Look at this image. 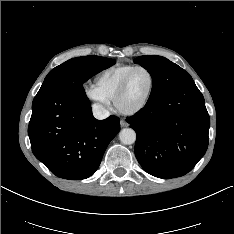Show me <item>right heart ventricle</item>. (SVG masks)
Wrapping results in <instances>:
<instances>
[{"mask_svg": "<svg viewBox=\"0 0 234 234\" xmlns=\"http://www.w3.org/2000/svg\"><path fill=\"white\" fill-rule=\"evenodd\" d=\"M134 67L132 64H116L105 68L96 76L95 85L108 100H113L123 78Z\"/></svg>", "mask_w": 234, "mask_h": 234, "instance_id": "e07e8e85", "label": "right heart ventricle"}]
</instances>
